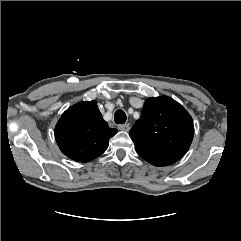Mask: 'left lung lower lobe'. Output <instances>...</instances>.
<instances>
[{
    "instance_id": "0a47b994",
    "label": "left lung lower lobe",
    "mask_w": 241,
    "mask_h": 241,
    "mask_svg": "<svg viewBox=\"0 0 241 241\" xmlns=\"http://www.w3.org/2000/svg\"><path fill=\"white\" fill-rule=\"evenodd\" d=\"M139 156L144 160L155 166H166L177 162L180 158L173 156H163V155H154L141 151H137Z\"/></svg>"
}]
</instances>
